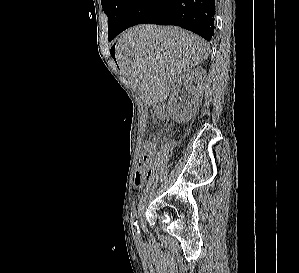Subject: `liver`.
I'll use <instances>...</instances> for the list:
<instances>
[{
  "mask_svg": "<svg viewBox=\"0 0 299 273\" xmlns=\"http://www.w3.org/2000/svg\"><path fill=\"white\" fill-rule=\"evenodd\" d=\"M115 55L121 71L154 105L168 97L177 77L208 58L209 46L178 27L138 25L120 35Z\"/></svg>",
  "mask_w": 299,
  "mask_h": 273,
  "instance_id": "1",
  "label": "liver"
}]
</instances>
